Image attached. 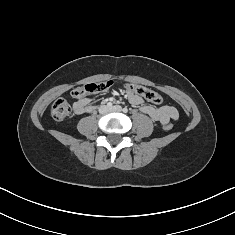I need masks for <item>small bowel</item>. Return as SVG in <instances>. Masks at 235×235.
<instances>
[{
	"instance_id": "small-bowel-1",
	"label": "small bowel",
	"mask_w": 235,
	"mask_h": 235,
	"mask_svg": "<svg viewBox=\"0 0 235 235\" xmlns=\"http://www.w3.org/2000/svg\"><path fill=\"white\" fill-rule=\"evenodd\" d=\"M126 98L131 104L140 105L141 111L151 117L153 120L161 123L162 125H166L170 121H174L178 119V110L171 105H165L161 107H155L151 105H147L144 103L142 97L126 90ZM92 98H81L78 99L74 105L73 109L76 114H83L89 112L93 109L92 107Z\"/></svg>"
}]
</instances>
